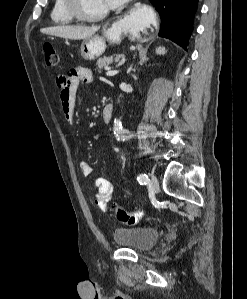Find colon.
Returning a JSON list of instances; mask_svg holds the SVG:
<instances>
[{"label": "colon", "mask_w": 247, "mask_h": 299, "mask_svg": "<svg viewBox=\"0 0 247 299\" xmlns=\"http://www.w3.org/2000/svg\"><path fill=\"white\" fill-rule=\"evenodd\" d=\"M43 52L45 57V62L48 66L54 67L57 66L59 62V56L54 48V46L46 42L43 45ZM116 217L119 222L126 225H135L137 224L143 217L142 211H127L123 208H118L116 210Z\"/></svg>", "instance_id": "obj_1"}]
</instances>
